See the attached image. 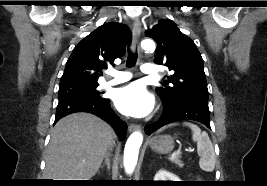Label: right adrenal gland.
Here are the masks:
<instances>
[{
  "label": "right adrenal gland",
  "instance_id": "1",
  "mask_svg": "<svg viewBox=\"0 0 267 186\" xmlns=\"http://www.w3.org/2000/svg\"><path fill=\"white\" fill-rule=\"evenodd\" d=\"M105 165L107 166V169H108V171H109L110 168H111V164H110V156H109V154H106V156H105V161L103 162L101 168H103Z\"/></svg>",
  "mask_w": 267,
  "mask_h": 186
}]
</instances>
